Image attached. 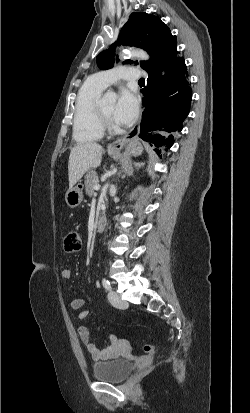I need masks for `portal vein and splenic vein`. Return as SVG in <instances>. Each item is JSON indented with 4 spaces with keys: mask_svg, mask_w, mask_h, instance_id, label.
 I'll return each instance as SVG.
<instances>
[{
    "mask_svg": "<svg viewBox=\"0 0 250 413\" xmlns=\"http://www.w3.org/2000/svg\"><path fill=\"white\" fill-rule=\"evenodd\" d=\"M99 189H100V185H99V184H96V185L94 186V190L98 191Z\"/></svg>",
    "mask_w": 250,
    "mask_h": 413,
    "instance_id": "1",
    "label": "portal vein and splenic vein"
}]
</instances>
